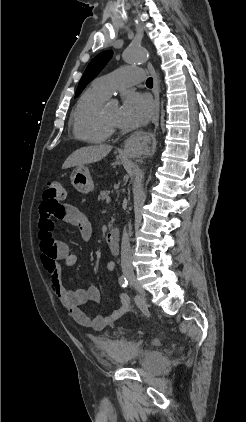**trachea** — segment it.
Masks as SVG:
<instances>
[{"instance_id": "1", "label": "trachea", "mask_w": 246, "mask_h": 422, "mask_svg": "<svg viewBox=\"0 0 246 422\" xmlns=\"http://www.w3.org/2000/svg\"><path fill=\"white\" fill-rule=\"evenodd\" d=\"M146 85H147L148 87H153V79H152L151 77L147 79V81H146Z\"/></svg>"}]
</instances>
